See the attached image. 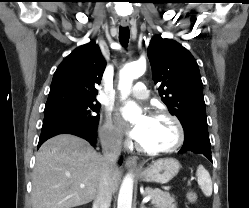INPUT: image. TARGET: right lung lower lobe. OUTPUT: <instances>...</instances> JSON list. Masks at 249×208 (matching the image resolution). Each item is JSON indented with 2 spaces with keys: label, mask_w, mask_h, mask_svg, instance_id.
<instances>
[{
  "label": "right lung lower lobe",
  "mask_w": 249,
  "mask_h": 208,
  "mask_svg": "<svg viewBox=\"0 0 249 208\" xmlns=\"http://www.w3.org/2000/svg\"><path fill=\"white\" fill-rule=\"evenodd\" d=\"M97 126H88L82 123L60 118H44L38 148L49 138L58 134H73L86 139L92 145L96 142Z\"/></svg>",
  "instance_id": "1"
}]
</instances>
